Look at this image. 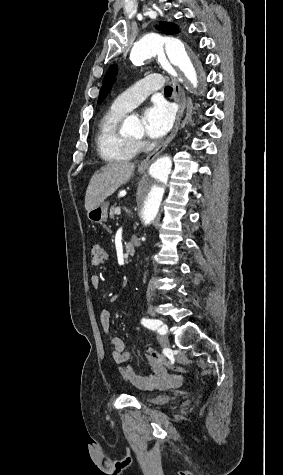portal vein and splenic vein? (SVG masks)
<instances>
[{
  "instance_id": "portal-vein-and-splenic-vein-1",
  "label": "portal vein and splenic vein",
  "mask_w": 283,
  "mask_h": 475,
  "mask_svg": "<svg viewBox=\"0 0 283 475\" xmlns=\"http://www.w3.org/2000/svg\"><path fill=\"white\" fill-rule=\"evenodd\" d=\"M116 214H121V208H117Z\"/></svg>"
}]
</instances>
